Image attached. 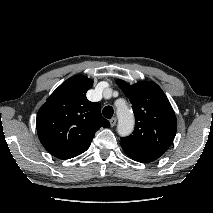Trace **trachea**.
Wrapping results in <instances>:
<instances>
[{
	"mask_svg": "<svg viewBox=\"0 0 213 213\" xmlns=\"http://www.w3.org/2000/svg\"><path fill=\"white\" fill-rule=\"evenodd\" d=\"M103 116L107 119H110L113 116L114 110L111 106H106L102 110Z\"/></svg>",
	"mask_w": 213,
	"mask_h": 213,
	"instance_id": "1",
	"label": "trachea"
}]
</instances>
